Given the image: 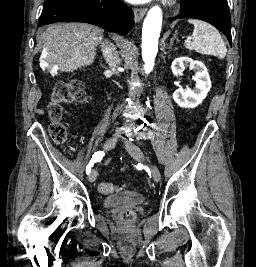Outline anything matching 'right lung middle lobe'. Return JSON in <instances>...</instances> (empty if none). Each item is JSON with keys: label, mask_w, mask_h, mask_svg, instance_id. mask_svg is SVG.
Listing matches in <instances>:
<instances>
[{"label": "right lung middle lobe", "mask_w": 256, "mask_h": 267, "mask_svg": "<svg viewBox=\"0 0 256 267\" xmlns=\"http://www.w3.org/2000/svg\"><path fill=\"white\" fill-rule=\"evenodd\" d=\"M59 0H45L44 6Z\"/></svg>", "instance_id": "obj_1"}]
</instances>
